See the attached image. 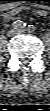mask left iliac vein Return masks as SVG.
<instances>
[{
	"mask_svg": "<svg viewBox=\"0 0 50 111\" xmlns=\"http://www.w3.org/2000/svg\"><path fill=\"white\" fill-rule=\"evenodd\" d=\"M25 32H26V29H19V30L17 31L18 34L25 33Z\"/></svg>",
	"mask_w": 50,
	"mask_h": 111,
	"instance_id": "obj_1",
	"label": "left iliac vein"
}]
</instances>
